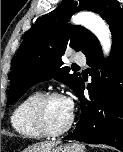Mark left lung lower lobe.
Segmentation results:
<instances>
[{
	"instance_id": "obj_1",
	"label": "left lung lower lobe",
	"mask_w": 123,
	"mask_h": 152,
	"mask_svg": "<svg viewBox=\"0 0 123 152\" xmlns=\"http://www.w3.org/2000/svg\"><path fill=\"white\" fill-rule=\"evenodd\" d=\"M106 22L113 36L110 57L104 62L98 40L85 53L92 76L87 86L89 96L83 95L85 86L81 81L76 91L81 118L63 140L107 144L123 152V9L111 12Z\"/></svg>"
}]
</instances>
